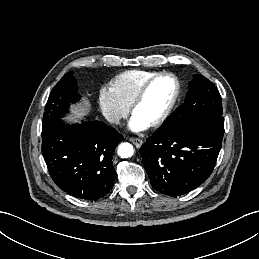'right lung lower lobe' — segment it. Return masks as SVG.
<instances>
[{
    "label": "right lung lower lobe",
    "instance_id": "1",
    "mask_svg": "<svg viewBox=\"0 0 259 259\" xmlns=\"http://www.w3.org/2000/svg\"><path fill=\"white\" fill-rule=\"evenodd\" d=\"M122 140L100 121L69 127L58 119L42 132V154L59 188L76 198L97 200L113 187L112 154Z\"/></svg>",
    "mask_w": 259,
    "mask_h": 259
}]
</instances>
